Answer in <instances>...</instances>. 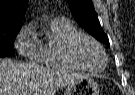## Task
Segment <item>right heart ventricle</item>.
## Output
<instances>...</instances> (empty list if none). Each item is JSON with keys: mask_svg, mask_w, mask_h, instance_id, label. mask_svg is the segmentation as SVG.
<instances>
[{"mask_svg": "<svg viewBox=\"0 0 135 95\" xmlns=\"http://www.w3.org/2000/svg\"><path fill=\"white\" fill-rule=\"evenodd\" d=\"M80 33L78 28L65 18H56L46 26L45 36L41 43L40 63L49 68L79 69L64 54L67 41Z\"/></svg>", "mask_w": 135, "mask_h": 95, "instance_id": "right-heart-ventricle-1", "label": "right heart ventricle"}]
</instances>
